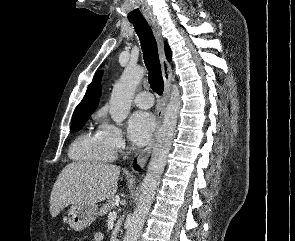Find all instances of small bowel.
<instances>
[{
    "instance_id": "obj_1",
    "label": "small bowel",
    "mask_w": 295,
    "mask_h": 241,
    "mask_svg": "<svg viewBox=\"0 0 295 241\" xmlns=\"http://www.w3.org/2000/svg\"><path fill=\"white\" fill-rule=\"evenodd\" d=\"M103 239V234L101 232H94L92 236V241H101Z\"/></svg>"
}]
</instances>
